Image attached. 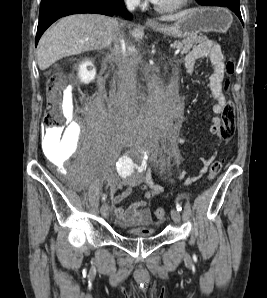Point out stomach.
<instances>
[{
  "label": "stomach",
  "mask_w": 267,
  "mask_h": 298,
  "mask_svg": "<svg viewBox=\"0 0 267 298\" xmlns=\"http://www.w3.org/2000/svg\"><path fill=\"white\" fill-rule=\"evenodd\" d=\"M233 17L222 7H202L185 11L172 25H156L153 30L175 38L195 36L200 32L225 33L231 26Z\"/></svg>",
  "instance_id": "0dacf381"
}]
</instances>
